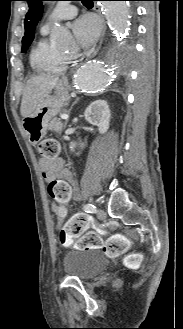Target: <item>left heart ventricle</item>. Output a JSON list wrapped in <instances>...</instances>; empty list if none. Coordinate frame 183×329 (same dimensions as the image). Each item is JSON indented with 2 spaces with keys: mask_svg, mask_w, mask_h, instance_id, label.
<instances>
[{
  "mask_svg": "<svg viewBox=\"0 0 183 329\" xmlns=\"http://www.w3.org/2000/svg\"><path fill=\"white\" fill-rule=\"evenodd\" d=\"M66 55H72L73 54V50H69L67 52H65Z\"/></svg>",
  "mask_w": 183,
  "mask_h": 329,
  "instance_id": "obj_1",
  "label": "left heart ventricle"
}]
</instances>
